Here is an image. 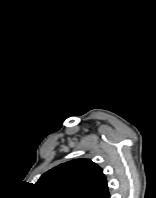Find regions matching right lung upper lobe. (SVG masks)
I'll return each instance as SVG.
<instances>
[{"label":"right lung upper lobe","instance_id":"1","mask_svg":"<svg viewBox=\"0 0 156 198\" xmlns=\"http://www.w3.org/2000/svg\"><path fill=\"white\" fill-rule=\"evenodd\" d=\"M36 187L50 198H110L102 169L89 159L72 160L49 170Z\"/></svg>","mask_w":156,"mask_h":198}]
</instances>
